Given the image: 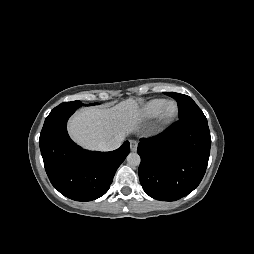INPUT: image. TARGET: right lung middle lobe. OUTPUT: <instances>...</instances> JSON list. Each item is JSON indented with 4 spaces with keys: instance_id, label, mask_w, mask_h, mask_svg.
<instances>
[{
    "instance_id": "right-lung-middle-lobe-1",
    "label": "right lung middle lobe",
    "mask_w": 254,
    "mask_h": 254,
    "mask_svg": "<svg viewBox=\"0 0 254 254\" xmlns=\"http://www.w3.org/2000/svg\"><path fill=\"white\" fill-rule=\"evenodd\" d=\"M63 104H71V105H78L80 106L82 103L80 101H73V102H64ZM96 103L90 104L95 105Z\"/></svg>"
}]
</instances>
